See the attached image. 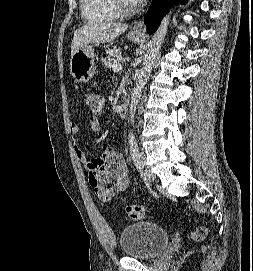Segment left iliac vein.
I'll use <instances>...</instances> for the list:
<instances>
[{"label":"left iliac vein","instance_id":"left-iliac-vein-1","mask_svg":"<svg viewBox=\"0 0 253 271\" xmlns=\"http://www.w3.org/2000/svg\"><path fill=\"white\" fill-rule=\"evenodd\" d=\"M140 165L142 169V176L145 180L152 182L155 180V175L146 165V156L143 153H140Z\"/></svg>","mask_w":253,"mask_h":271}]
</instances>
